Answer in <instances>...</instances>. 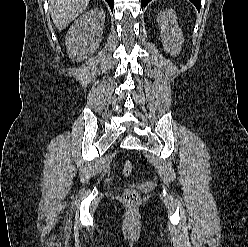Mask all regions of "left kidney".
Listing matches in <instances>:
<instances>
[{
  "mask_svg": "<svg viewBox=\"0 0 248 247\" xmlns=\"http://www.w3.org/2000/svg\"><path fill=\"white\" fill-rule=\"evenodd\" d=\"M157 22L160 26L165 51L176 55L184 42L183 33L178 27L176 12L173 9L160 12Z\"/></svg>",
  "mask_w": 248,
  "mask_h": 247,
  "instance_id": "obj_1",
  "label": "left kidney"
}]
</instances>
